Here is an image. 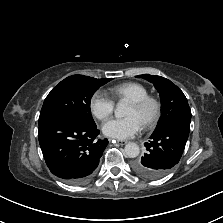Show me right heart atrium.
<instances>
[{
    "mask_svg": "<svg viewBox=\"0 0 223 223\" xmlns=\"http://www.w3.org/2000/svg\"><path fill=\"white\" fill-rule=\"evenodd\" d=\"M114 101L105 93L98 91L90 99V110L100 121L107 120L114 111Z\"/></svg>",
    "mask_w": 223,
    "mask_h": 223,
    "instance_id": "obj_1",
    "label": "right heart atrium"
}]
</instances>
